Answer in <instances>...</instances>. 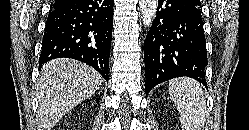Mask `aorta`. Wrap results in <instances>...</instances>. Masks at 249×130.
Here are the masks:
<instances>
[{
  "instance_id": "aorta-1",
  "label": "aorta",
  "mask_w": 249,
  "mask_h": 130,
  "mask_svg": "<svg viewBox=\"0 0 249 130\" xmlns=\"http://www.w3.org/2000/svg\"><path fill=\"white\" fill-rule=\"evenodd\" d=\"M157 0H139L142 22L145 27H150L156 17Z\"/></svg>"
}]
</instances>
